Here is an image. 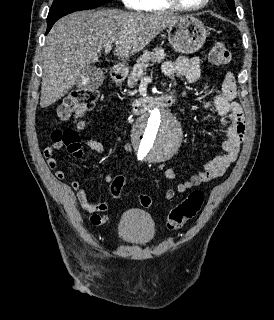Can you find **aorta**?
<instances>
[{"instance_id":"1","label":"aorta","mask_w":274,"mask_h":320,"mask_svg":"<svg viewBox=\"0 0 274 320\" xmlns=\"http://www.w3.org/2000/svg\"><path fill=\"white\" fill-rule=\"evenodd\" d=\"M133 140L141 158L163 162L170 159L180 147L182 130L170 111L156 108L137 123Z\"/></svg>"}]
</instances>
